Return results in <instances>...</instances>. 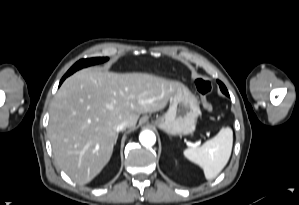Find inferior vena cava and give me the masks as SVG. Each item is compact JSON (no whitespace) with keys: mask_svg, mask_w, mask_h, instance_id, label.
Segmentation results:
<instances>
[{"mask_svg":"<svg viewBox=\"0 0 299 205\" xmlns=\"http://www.w3.org/2000/svg\"><path fill=\"white\" fill-rule=\"evenodd\" d=\"M127 127V122L126 121H123L121 123H119L116 127H115V130L117 132L119 131H122L123 129H125Z\"/></svg>","mask_w":299,"mask_h":205,"instance_id":"602c4592","label":"inferior vena cava"}]
</instances>
